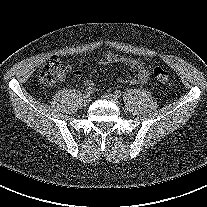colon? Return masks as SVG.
Wrapping results in <instances>:
<instances>
[{
  "label": "colon",
  "instance_id": "obj_1",
  "mask_svg": "<svg viewBox=\"0 0 207 207\" xmlns=\"http://www.w3.org/2000/svg\"><path fill=\"white\" fill-rule=\"evenodd\" d=\"M62 73H64V67L60 59L54 57L41 68L39 77L45 85H53ZM153 73L160 83H167L170 79L169 72L163 67H155Z\"/></svg>",
  "mask_w": 207,
  "mask_h": 207
}]
</instances>
